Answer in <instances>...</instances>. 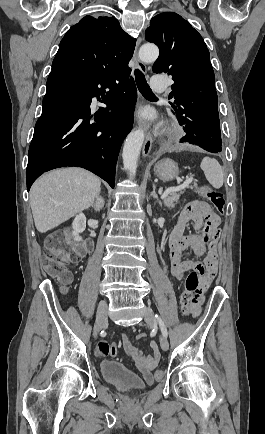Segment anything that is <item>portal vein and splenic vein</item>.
<instances>
[{"mask_svg": "<svg viewBox=\"0 0 265 434\" xmlns=\"http://www.w3.org/2000/svg\"><path fill=\"white\" fill-rule=\"evenodd\" d=\"M191 182H193V178H187V180H185L183 184H180V186H176V188H168V190H165L164 194H162V200H164V198H166V196H168L170 192H178V190H183V188H187V186H189Z\"/></svg>", "mask_w": 265, "mask_h": 434, "instance_id": "portal-vein-and-splenic-vein-1", "label": "portal vein and splenic vein"}]
</instances>
